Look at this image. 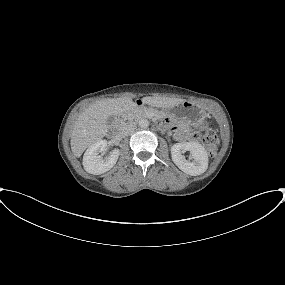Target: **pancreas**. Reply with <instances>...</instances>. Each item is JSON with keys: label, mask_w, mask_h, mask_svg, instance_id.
Instances as JSON below:
<instances>
[{"label": "pancreas", "mask_w": 285, "mask_h": 285, "mask_svg": "<svg viewBox=\"0 0 285 285\" xmlns=\"http://www.w3.org/2000/svg\"><path fill=\"white\" fill-rule=\"evenodd\" d=\"M154 115L158 118L162 117V114L157 112V111H153V110H148L146 108H134L132 109L129 113H127L126 118L133 120V119H137L140 117H146L148 115Z\"/></svg>", "instance_id": "cf45deb5"}]
</instances>
